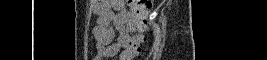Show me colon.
<instances>
[{
  "label": "colon",
  "instance_id": "1",
  "mask_svg": "<svg viewBox=\"0 0 267 60\" xmlns=\"http://www.w3.org/2000/svg\"><path fill=\"white\" fill-rule=\"evenodd\" d=\"M129 3L133 17L135 19L136 24L140 28L147 27V18L152 10V1L150 0H127ZM141 54V49L137 50L136 55Z\"/></svg>",
  "mask_w": 267,
  "mask_h": 60
}]
</instances>
